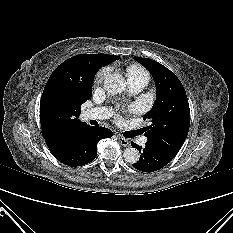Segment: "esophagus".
Here are the masks:
<instances>
[{"instance_id": "34e87169", "label": "esophagus", "mask_w": 233, "mask_h": 233, "mask_svg": "<svg viewBox=\"0 0 233 233\" xmlns=\"http://www.w3.org/2000/svg\"><path fill=\"white\" fill-rule=\"evenodd\" d=\"M118 141L124 147H129L130 146V141L128 139L124 138V137L118 136Z\"/></svg>"}]
</instances>
